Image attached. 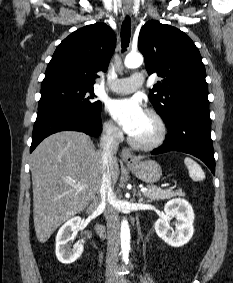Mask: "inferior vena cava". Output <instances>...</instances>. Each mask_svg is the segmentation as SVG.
Here are the masks:
<instances>
[{
    "label": "inferior vena cava",
    "instance_id": "602c4592",
    "mask_svg": "<svg viewBox=\"0 0 233 283\" xmlns=\"http://www.w3.org/2000/svg\"><path fill=\"white\" fill-rule=\"evenodd\" d=\"M118 146L117 128L112 125L106 126L100 138L103 176L99 197L100 205L104 208V215L107 222V268L116 266L119 257V215L115 207L116 196L113 192L110 175L112 159L118 150Z\"/></svg>",
    "mask_w": 233,
    "mask_h": 283
}]
</instances>
